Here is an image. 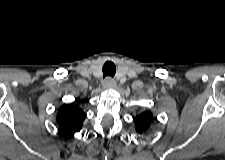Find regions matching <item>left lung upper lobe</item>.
<instances>
[{
  "mask_svg": "<svg viewBox=\"0 0 225 160\" xmlns=\"http://www.w3.org/2000/svg\"><path fill=\"white\" fill-rule=\"evenodd\" d=\"M153 120L152 113L146 111L133 118L135 129L138 133H143L150 127Z\"/></svg>",
  "mask_w": 225,
  "mask_h": 160,
  "instance_id": "5c2ea615",
  "label": "left lung upper lobe"
}]
</instances>
